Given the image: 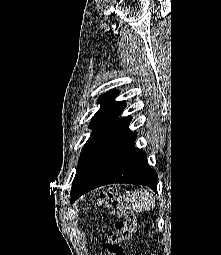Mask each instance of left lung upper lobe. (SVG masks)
I'll list each match as a JSON object with an SVG mask.
<instances>
[{
    "instance_id": "left-lung-upper-lobe-1",
    "label": "left lung upper lobe",
    "mask_w": 221,
    "mask_h": 255,
    "mask_svg": "<svg viewBox=\"0 0 221 255\" xmlns=\"http://www.w3.org/2000/svg\"><path fill=\"white\" fill-rule=\"evenodd\" d=\"M119 93L118 90H110L109 92L101 95L98 103L101 104L98 112L93 116L89 124V128L93 130L91 136L84 145L73 180L72 188L75 187L80 175L87 164L88 160L102 143V141L120 124L124 119H120L121 112L126 107L124 101H114L115 96Z\"/></svg>"
}]
</instances>
